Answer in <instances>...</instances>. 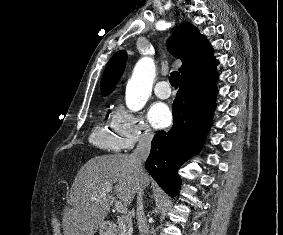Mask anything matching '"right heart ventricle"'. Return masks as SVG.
I'll return each mask as SVG.
<instances>
[{
	"mask_svg": "<svg viewBox=\"0 0 283 235\" xmlns=\"http://www.w3.org/2000/svg\"><path fill=\"white\" fill-rule=\"evenodd\" d=\"M91 142L109 152H119L121 149V141L119 134L112 121L102 119L92 130Z\"/></svg>",
	"mask_w": 283,
	"mask_h": 235,
	"instance_id": "right-heart-ventricle-1",
	"label": "right heart ventricle"
}]
</instances>
